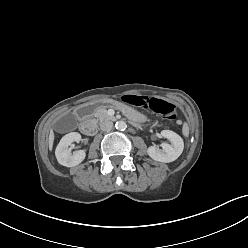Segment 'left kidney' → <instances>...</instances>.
<instances>
[{
  "instance_id": "obj_1",
  "label": "left kidney",
  "mask_w": 248,
  "mask_h": 248,
  "mask_svg": "<svg viewBox=\"0 0 248 248\" xmlns=\"http://www.w3.org/2000/svg\"><path fill=\"white\" fill-rule=\"evenodd\" d=\"M162 137L166 138L171 144H161L162 149L158 146H150L147 150L148 155L155 161L169 163L175 161L183 152V139L173 131H161Z\"/></svg>"
}]
</instances>
